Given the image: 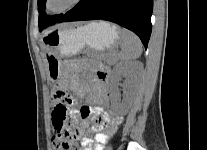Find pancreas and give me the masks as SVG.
<instances>
[{
	"label": "pancreas",
	"instance_id": "1",
	"mask_svg": "<svg viewBox=\"0 0 207 150\" xmlns=\"http://www.w3.org/2000/svg\"><path fill=\"white\" fill-rule=\"evenodd\" d=\"M99 58L103 60L104 62L108 63L109 65H113L117 61V55L113 51H109L106 53H102Z\"/></svg>",
	"mask_w": 207,
	"mask_h": 150
}]
</instances>
